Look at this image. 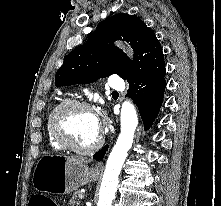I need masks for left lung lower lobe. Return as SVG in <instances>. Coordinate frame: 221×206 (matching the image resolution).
Masks as SVG:
<instances>
[{"label":"left lung lower lobe","instance_id":"obj_1","mask_svg":"<svg viewBox=\"0 0 221 206\" xmlns=\"http://www.w3.org/2000/svg\"><path fill=\"white\" fill-rule=\"evenodd\" d=\"M165 72L166 69L129 85L127 96L136 103L145 129L151 126L161 107L166 86ZM107 149L108 145L95 153L93 158L103 159Z\"/></svg>","mask_w":221,"mask_h":206}]
</instances>
